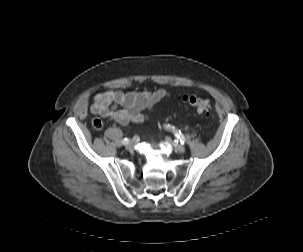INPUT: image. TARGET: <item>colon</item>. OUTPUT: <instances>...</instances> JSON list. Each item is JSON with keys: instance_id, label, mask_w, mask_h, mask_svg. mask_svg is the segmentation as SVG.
I'll return each mask as SVG.
<instances>
[{"instance_id": "colon-1", "label": "colon", "mask_w": 303, "mask_h": 252, "mask_svg": "<svg viewBox=\"0 0 303 252\" xmlns=\"http://www.w3.org/2000/svg\"><path fill=\"white\" fill-rule=\"evenodd\" d=\"M181 101L190 106H193L199 113L206 115L212 114L213 109L208 100L202 99L193 94H186L181 97ZM93 126L95 129L99 130L102 128V122L99 119H96L93 121Z\"/></svg>"}]
</instances>
